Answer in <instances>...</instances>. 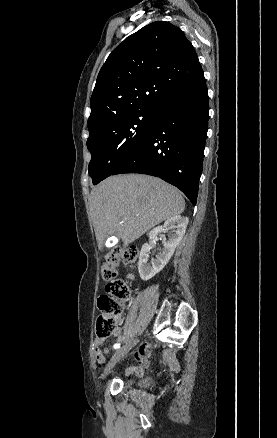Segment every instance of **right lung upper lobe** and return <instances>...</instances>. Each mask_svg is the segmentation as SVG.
Here are the masks:
<instances>
[{"label":"right lung upper lobe","mask_w":277,"mask_h":438,"mask_svg":"<svg viewBox=\"0 0 277 438\" xmlns=\"http://www.w3.org/2000/svg\"><path fill=\"white\" fill-rule=\"evenodd\" d=\"M202 75L195 49L180 28L164 21L148 24L116 47L102 66L88 128L114 116L156 109L164 97Z\"/></svg>","instance_id":"right-lung-upper-lobe-1"}]
</instances>
